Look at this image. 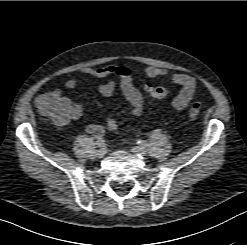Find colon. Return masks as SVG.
<instances>
[{
  "mask_svg": "<svg viewBox=\"0 0 247 245\" xmlns=\"http://www.w3.org/2000/svg\"><path fill=\"white\" fill-rule=\"evenodd\" d=\"M144 89L152 99H163L168 95V91L160 86L148 84ZM38 108L44 117L51 120L55 124L63 125L69 120L71 112L70 103L65 97L58 94L49 93L44 96L40 100ZM200 112L201 104L199 102H194L190 108V117L192 119H197ZM107 124L111 130L118 129V122L115 117H109Z\"/></svg>",
  "mask_w": 247,
  "mask_h": 245,
  "instance_id": "1",
  "label": "colon"
}]
</instances>
